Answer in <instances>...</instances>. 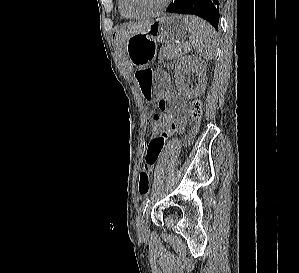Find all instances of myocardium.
Returning <instances> with one entry per match:
<instances>
[{
	"label": "myocardium",
	"instance_id": "1",
	"mask_svg": "<svg viewBox=\"0 0 299 273\" xmlns=\"http://www.w3.org/2000/svg\"><path fill=\"white\" fill-rule=\"evenodd\" d=\"M171 0H163L159 6H157L155 9L146 12V13H142V14H134L131 13L127 10L126 6H125V0H119L120 2V8L122 10V12L129 18L132 19H142V18H147V17H152L155 16L159 13H161L163 10H165V8L168 6L169 2Z\"/></svg>",
	"mask_w": 299,
	"mask_h": 273
}]
</instances>
